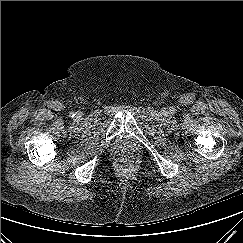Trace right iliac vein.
<instances>
[{
    "label": "right iliac vein",
    "mask_w": 243,
    "mask_h": 243,
    "mask_svg": "<svg viewBox=\"0 0 243 243\" xmlns=\"http://www.w3.org/2000/svg\"><path fill=\"white\" fill-rule=\"evenodd\" d=\"M76 115H77V117H80L81 116V113L78 112Z\"/></svg>",
    "instance_id": "obj_1"
}]
</instances>
